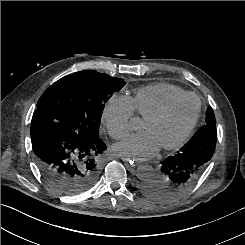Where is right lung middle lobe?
I'll list each match as a JSON object with an SVG mask.
<instances>
[{"instance_id":"dd1d6c3e","label":"right lung middle lobe","mask_w":245,"mask_h":245,"mask_svg":"<svg viewBox=\"0 0 245 245\" xmlns=\"http://www.w3.org/2000/svg\"><path fill=\"white\" fill-rule=\"evenodd\" d=\"M126 83L94 70L64 76L48 87L37 103L51 116L66 123L86 139L99 138L104 104Z\"/></svg>"}]
</instances>
